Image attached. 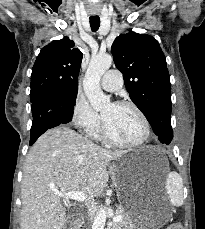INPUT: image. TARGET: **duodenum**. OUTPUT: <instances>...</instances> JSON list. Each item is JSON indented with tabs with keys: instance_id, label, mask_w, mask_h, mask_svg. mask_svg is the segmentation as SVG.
<instances>
[{
	"instance_id": "duodenum-1",
	"label": "duodenum",
	"mask_w": 205,
	"mask_h": 229,
	"mask_svg": "<svg viewBox=\"0 0 205 229\" xmlns=\"http://www.w3.org/2000/svg\"><path fill=\"white\" fill-rule=\"evenodd\" d=\"M80 223H81V220L78 219L77 222H76V224L74 226H72L70 228H67V229H78V226L80 225Z\"/></svg>"
}]
</instances>
